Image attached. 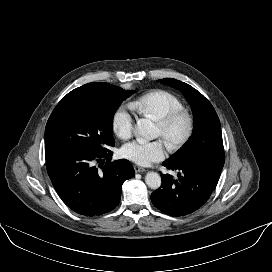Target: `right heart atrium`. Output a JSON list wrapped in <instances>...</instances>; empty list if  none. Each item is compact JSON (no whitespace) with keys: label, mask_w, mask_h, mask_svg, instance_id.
<instances>
[{"label":"right heart atrium","mask_w":272,"mask_h":272,"mask_svg":"<svg viewBox=\"0 0 272 272\" xmlns=\"http://www.w3.org/2000/svg\"><path fill=\"white\" fill-rule=\"evenodd\" d=\"M134 119L126 106H120L112 116V128L114 133L123 140L131 137Z\"/></svg>","instance_id":"right-heart-atrium-1"}]
</instances>
